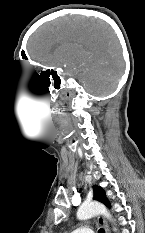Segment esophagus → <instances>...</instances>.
Instances as JSON below:
<instances>
[{
    "label": "esophagus",
    "instance_id": "esophagus-1",
    "mask_svg": "<svg viewBox=\"0 0 145 233\" xmlns=\"http://www.w3.org/2000/svg\"><path fill=\"white\" fill-rule=\"evenodd\" d=\"M98 222H99V224H101L104 227L105 233H110L108 224H107V222L105 221V219L103 217L99 216L98 217Z\"/></svg>",
    "mask_w": 145,
    "mask_h": 233
}]
</instances>
